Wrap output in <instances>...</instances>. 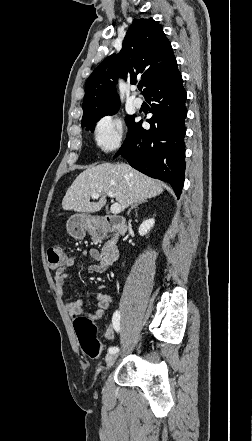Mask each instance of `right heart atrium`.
<instances>
[{
	"label": "right heart atrium",
	"mask_w": 252,
	"mask_h": 441,
	"mask_svg": "<svg viewBox=\"0 0 252 441\" xmlns=\"http://www.w3.org/2000/svg\"><path fill=\"white\" fill-rule=\"evenodd\" d=\"M123 135V121L119 116L114 114L101 117L94 128L95 145L103 154L117 150L122 144Z\"/></svg>",
	"instance_id": "obj_1"
}]
</instances>
